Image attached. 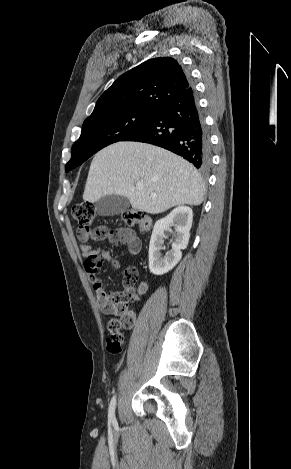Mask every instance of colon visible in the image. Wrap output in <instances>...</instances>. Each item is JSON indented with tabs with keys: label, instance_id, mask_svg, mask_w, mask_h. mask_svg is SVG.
I'll return each instance as SVG.
<instances>
[{
	"label": "colon",
	"instance_id": "5ec220e1",
	"mask_svg": "<svg viewBox=\"0 0 291 469\" xmlns=\"http://www.w3.org/2000/svg\"><path fill=\"white\" fill-rule=\"evenodd\" d=\"M72 216L79 225L80 231L84 235L93 240L109 239L119 241L123 238L125 230H113L107 226H98L93 228L92 224L96 216L95 207L90 202H81L76 204L72 209ZM123 220L127 226H137L143 232L151 227L150 217L139 210H127L122 214ZM103 262L100 259H88L86 266L90 272H96ZM124 290L120 291L113 297L114 307L110 314L114 317L108 322V330L110 336L107 339L106 347L108 352L119 353L122 348L123 335L121 329H130L135 323V313L133 311V303L138 298L139 293L135 286L138 281V271L134 267H128L123 276ZM94 287L98 290L103 289L102 283H96Z\"/></svg>",
	"mask_w": 291,
	"mask_h": 469
}]
</instances>
